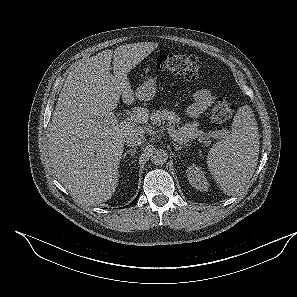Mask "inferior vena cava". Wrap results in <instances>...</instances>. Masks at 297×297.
<instances>
[{"instance_id":"1","label":"inferior vena cava","mask_w":297,"mask_h":297,"mask_svg":"<svg viewBox=\"0 0 297 297\" xmlns=\"http://www.w3.org/2000/svg\"><path fill=\"white\" fill-rule=\"evenodd\" d=\"M128 146H140L145 142V137L141 132H130L124 139Z\"/></svg>"}]
</instances>
